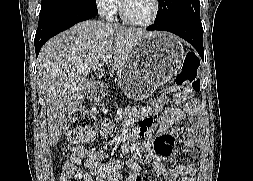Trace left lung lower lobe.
I'll return each mask as SVG.
<instances>
[{
  "label": "left lung lower lobe",
  "instance_id": "left-lung-lower-lobe-1",
  "mask_svg": "<svg viewBox=\"0 0 253 181\" xmlns=\"http://www.w3.org/2000/svg\"><path fill=\"white\" fill-rule=\"evenodd\" d=\"M147 30L169 31L189 42L204 59L203 27L200 18L175 19L164 23H154Z\"/></svg>",
  "mask_w": 253,
  "mask_h": 181
}]
</instances>
